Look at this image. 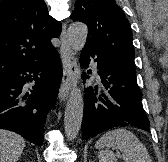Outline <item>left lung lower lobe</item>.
Listing matches in <instances>:
<instances>
[{"label":"left lung lower lobe","mask_w":168,"mask_h":162,"mask_svg":"<svg viewBox=\"0 0 168 162\" xmlns=\"http://www.w3.org/2000/svg\"><path fill=\"white\" fill-rule=\"evenodd\" d=\"M90 57L97 62L103 90L86 89L82 121V137L87 139L114 127L132 126L150 132V122L141 103L136 71L120 65L108 56L84 47L81 67L89 66ZM84 82L89 76L82 74Z\"/></svg>","instance_id":"1"}]
</instances>
